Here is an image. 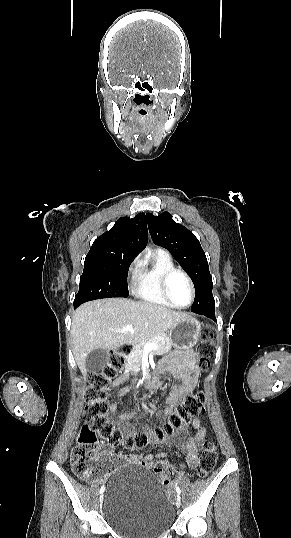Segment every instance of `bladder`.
I'll list each match as a JSON object with an SVG mask.
<instances>
[{
    "label": "bladder",
    "mask_w": 291,
    "mask_h": 538,
    "mask_svg": "<svg viewBox=\"0 0 291 538\" xmlns=\"http://www.w3.org/2000/svg\"><path fill=\"white\" fill-rule=\"evenodd\" d=\"M101 505L107 524L129 538H154L175 520L173 506L155 476L133 464L110 475Z\"/></svg>",
    "instance_id": "obj_1"
}]
</instances>
